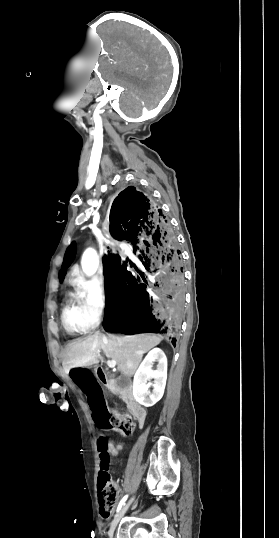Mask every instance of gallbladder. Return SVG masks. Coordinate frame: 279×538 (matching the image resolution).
Returning a JSON list of instances; mask_svg holds the SVG:
<instances>
[{
    "label": "gallbladder",
    "mask_w": 279,
    "mask_h": 538,
    "mask_svg": "<svg viewBox=\"0 0 279 538\" xmlns=\"http://www.w3.org/2000/svg\"><path fill=\"white\" fill-rule=\"evenodd\" d=\"M116 385L118 387H127L129 385V378L127 376H118L116 378Z\"/></svg>",
    "instance_id": "gallbladder-1"
}]
</instances>
